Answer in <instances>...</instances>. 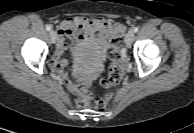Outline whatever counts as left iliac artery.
Wrapping results in <instances>:
<instances>
[{"instance_id":"obj_1","label":"left iliac artery","mask_w":194,"mask_h":133,"mask_svg":"<svg viewBox=\"0 0 194 133\" xmlns=\"http://www.w3.org/2000/svg\"><path fill=\"white\" fill-rule=\"evenodd\" d=\"M138 30H139L138 27H135V28L133 29L134 33L138 32Z\"/></svg>"}]
</instances>
